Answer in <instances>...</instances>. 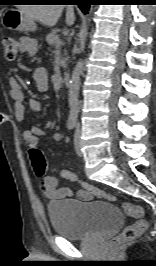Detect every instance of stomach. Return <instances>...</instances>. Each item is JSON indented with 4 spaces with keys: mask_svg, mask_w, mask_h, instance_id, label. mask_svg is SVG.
Here are the masks:
<instances>
[{
    "mask_svg": "<svg viewBox=\"0 0 156 266\" xmlns=\"http://www.w3.org/2000/svg\"><path fill=\"white\" fill-rule=\"evenodd\" d=\"M4 24L17 31H33L36 25L33 20L19 10H9L4 15Z\"/></svg>",
    "mask_w": 156,
    "mask_h": 266,
    "instance_id": "1",
    "label": "stomach"
}]
</instances>
